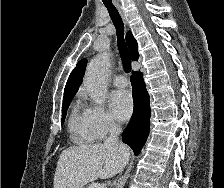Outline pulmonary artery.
I'll list each match as a JSON object with an SVG mask.
<instances>
[{
	"instance_id": "1",
	"label": "pulmonary artery",
	"mask_w": 224,
	"mask_h": 188,
	"mask_svg": "<svg viewBox=\"0 0 224 188\" xmlns=\"http://www.w3.org/2000/svg\"><path fill=\"white\" fill-rule=\"evenodd\" d=\"M113 84L116 87L123 88L128 85V80L124 75H118L114 77Z\"/></svg>"
}]
</instances>
